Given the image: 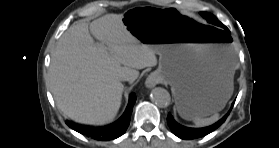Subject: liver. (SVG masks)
I'll list each match as a JSON object with an SVG mask.
<instances>
[{
    "mask_svg": "<svg viewBox=\"0 0 279 148\" xmlns=\"http://www.w3.org/2000/svg\"><path fill=\"white\" fill-rule=\"evenodd\" d=\"M155 54L126 29L120 14L71 26L51 56L49 85L57 107L81 124L112 121L124 89L120 77L133 82L137 70L157 65Z\"/></svg>",
    "mask_w": 279,
    "mask_h": 148,
    "instance_id": "1",
    "label": "liver"
}]
</instances>
